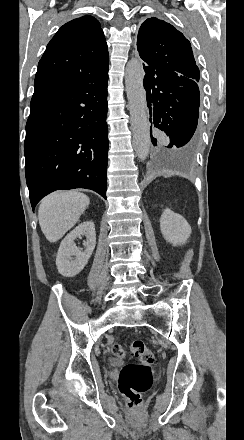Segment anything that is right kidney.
I'll return each mask as SVG.
<instances>
[{"label": "right kidney", "instance_id": "1", "mask_svg": "<svg viewBox=\"0 0 244 440\" xmlns=\"http://www.w3.org/2000/svg\"><path fill=\"white\" fill-rule=\"evenodd\" d=\"M81 236H86L87 238L83 244V246H86L84 252H80L79 248L73 246L74 240L81 238ZM95 246L96 234L93 222H83V224L76 226L70 234H67L66 238H64L60 244L56 258V266L59 274L66 276V278H72V276L79 274L84 266H86L90 256H92ZM72 256H75L74 260Z\"/></svg>", "mask_w": 244, "mask_h": 440}]
</instances>
